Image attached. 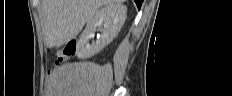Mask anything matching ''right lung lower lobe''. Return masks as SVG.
Here are the masks:
<instances>
[{"mask_svg": "<svg viewBox=\"0 0 232 96\" xmlns=\"http://www.w3.org/2000/svg\"><path fill=\"white\" fill-rule=\"evenodd\" d=\"M134 1H135V3L137 4L138 9H140V8H141V5H142L143 0H134Z\"/></svg>", "mask_w": 232, "mask_h": 96, "instance_id": "1", "label": "right lung lower lobe"}]
</instances>
